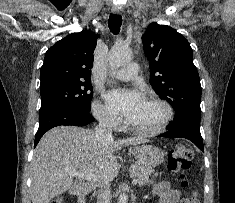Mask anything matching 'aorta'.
Wrapping results in <instances>:
<instances>
[{"instance_id":"762f6f07","label":"aorta","mask_w":235,"mask_h":203,"mask_svg":"<svg viewBox=\"0 0 235 203\" xmlns=\"http://www.w3.org/2000/svg\"><path fill=\"white\" fill-rule=\"evenodd\" d=\"M132 59L131 49L122 43H116L109 52V65L112 70H116L128 64ZM118 203H128L126 194H121Z\"/></svg>"}]
</instances>
